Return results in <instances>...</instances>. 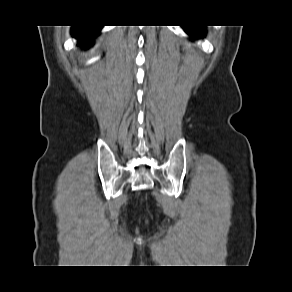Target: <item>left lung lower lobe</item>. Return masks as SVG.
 I'll list each match as a JSON object with an SVG mask.
<instances>
[{
    "mask_svg": "<svg viewBox=\"0 0 292 292\" xmlns=\"http://www.w3.org/2000/svg\"><path fill=\"white\" fill-rule=\"evenodd\" d=\"M185 30L193 37H201L205 34L202 26H185Z\"/></svg>",
    "mask_w": 292,
    "mask_h": 292,
    "instance_id": "obj_1",
    "label": "left lung lower lobe"
}]
</instances>
